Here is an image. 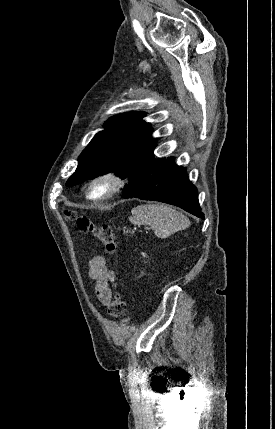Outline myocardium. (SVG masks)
<instances>
[{
	"label": "myocardium",
	"mask_w": 275,
	"mask_h": 429,
	"mask_svg": "<svg viewBox=\"0 0 275 429\" xmlns=\"http://www.w3.org/2000/svg\"><path fill=\"white\" fill-rule=\"evenodd\" d=\"M107 184L106 191L100 196L92 194L93 188L99 184ZM126 177L118 171L108 170L95 175L88 183L86 197L93 202L107 201L119 194L126 186Z\"/></svg>",
	"instance_id": "obj_1"
}]
</instances>
